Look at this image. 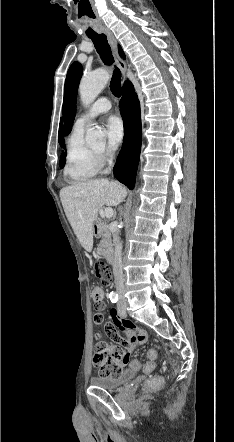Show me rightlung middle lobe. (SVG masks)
I'll return each instance as SVG.
<instances>
[{
  "label": "right lung middle lobe",
  "instance_id": "1",
  "mask_svg": "<svg viewBox=\"0 0 234 442\" xmlns=\"http://www.w3.org/2000/svg\"><path fill=\"white\" fill-rule=\"evenodd\" d=\"M65 152L62 153L61 157H60V167L63 168V166L65 165Z\"/></svg>",
  "mask_w": 234,
  "mask_h": 442
}]
</instances>
